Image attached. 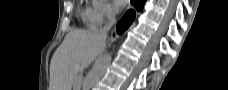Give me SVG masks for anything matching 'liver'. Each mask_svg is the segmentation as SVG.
<instances>
[{
    "mask_svg": "<svg viewBox=\"0 0 228 90\" xmlns=\"http://www.w3.org/2000/svg\"><path fill=\"white\" fill-rule=\"evenodd\" d=\"M106 37L96 31L74 30L68 33L50 63V90H72L81 70L104 50Z\"/></svg>",
    "mask_w": 228,
    "mask_h": 90,
    "instance_id": "6515ba94",
    "label": "liver"
}]
</instances>
